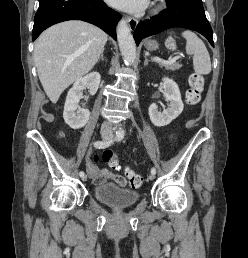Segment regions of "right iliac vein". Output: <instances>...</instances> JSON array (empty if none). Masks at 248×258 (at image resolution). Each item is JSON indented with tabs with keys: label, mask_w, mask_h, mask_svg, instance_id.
<instances>
[{
	"label": "right iliac vein",
	"mask_w": 248,
	"mask_h": 258,
	"mask_svg": "<svg viewBox=\"0 0 248 258\" xmlns=\"http://www.w3.org/2000/svg\"><path fill=\"white\" fill-rule=\"evenodd\" d=\"M102 137H103V139H108L109 138V134H107V133H102ZM82 180L85 182V181H87V175H84L83 177H82Z\"/></svg>",
	"instance_id": "obj_1"
}]
</instances>
